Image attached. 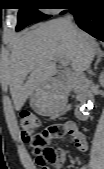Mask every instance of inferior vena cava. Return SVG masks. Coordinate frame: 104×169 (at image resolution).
<instances>
[{"instance_id": "inferior-vena-cava-1", "label": "inferior vena cava", "mask_w": 104, "mask_h": 169, "mask_svg": "<svg viewBox=\"0 0 104 169\" xmlns=\"http://www.w3.org/2000/svg\"><path fill=\"white\" fill-rule=\"evenodd\" d=\"M72 19H73V16H72L71 14H68V16L66 17V21H67V23L69 24L70 28H71L73 31H75V26H74V24H73V22H72ZM88 73H89L90 75H92V71L90 70L89 66H88Z\"/></svg>"}]
</instances>
